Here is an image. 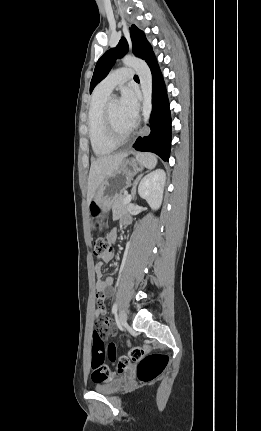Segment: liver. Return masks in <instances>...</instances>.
<instances>
[{"mask_svg":"<svg viewBox=\"0 0 261 431\" xmlns=\"http://www.w3.org/2000/svg\"><path fill=\"white\" fill-rule=\"evenodd\" d=\"M127 155V152H121L114 155L99 157L91 163L87 191L88 204L93 200L104 180L111 177L119 169Z\"/></svg>","mask_w":261,"mask_h":431,"instance_id":"liver-1","label":"liver"}]
</instances>
